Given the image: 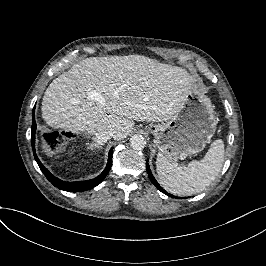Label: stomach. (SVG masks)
Masks as SVG:
<instances>
[{"label": "stomach", "instance_id": "0dacf381", "mask_svg": "<svg viewBox=\"0 0 266 266\" xmlns=\"http://www.w3.org/2000/svg\"><path fill=\"white\" fill-rule=\"evenodd\" d=\"M217 123L210 99L192 92L171 119L148 124L144 129L154 135V143L163 156L184 159L204 150Z\"/></svg>", "mask_w": 266, "mask_h": 266}]
</instances>
